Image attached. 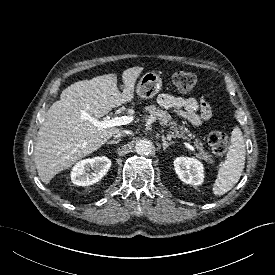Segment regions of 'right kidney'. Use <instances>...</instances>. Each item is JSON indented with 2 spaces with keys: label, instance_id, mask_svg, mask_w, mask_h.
<instances>
[{
  "label": "right kidney",
  "instance_id": "ca27d5eb",
  "mask_svg": "<svg viewBox=\"0 0 275 275\" xmlns=\"http://www.w3.org/2000/svg\"><path fill=\"white\" fill-rule=\"evenodd\" d=\"M111 167V160L105 156L84 159L76 163L71 180L78 186H89L98 182Z\"/></svg>",
  "mask_w": 275,
  "mask_h": 275
}]
</instances>
